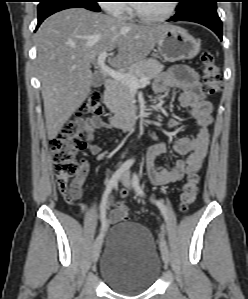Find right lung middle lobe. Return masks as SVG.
Listing matches in <instances>:
<instances>
[{
	"label": "right lung middle lobe",
	"mask_w": 248,
	"mask_h": 299,
	"mask_svg": "<svg viewBox=\"0 0 248 299\" xmlns=\"http://www.w3.org/2000/svg\"><path fill=\"white\" fill-rule=\"evenodd\" d=\"M61 4H76L93 11H100L97 0H40L38 5V14Z\"/></svg>",
	"instance_id": "right-lung-middle-lobe-1"
}]
</instances>
